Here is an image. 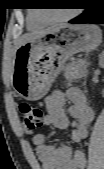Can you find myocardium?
<instances>
[{"label":"myocardium","mask_w":104,"mask_h":169,"mask_svg":"<svg viewBox=\"0 0 104 169\" xmlns=\"http://www.w3.org/2000/svg\"><path fill=\"white\" fill-rule=\"evenodd\" d=\"M75 14H76V12L72 11L71 13H69V14L61 17V18L53 19V20L46 19L45 17L40 16V15H38L37 18L41 22H43L44 24H57V23H62V22L69 21L70 19H72L75 16Z\"/></svg>","instance_id":"myocardium-1"}]
</instances>
